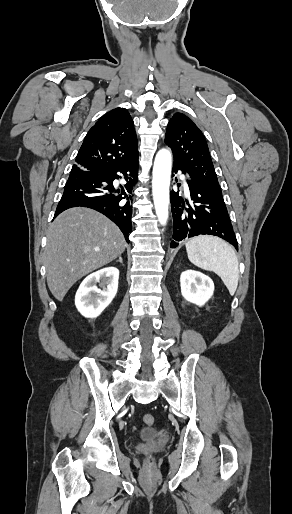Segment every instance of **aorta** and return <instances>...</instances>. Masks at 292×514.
<instances>
[{"label": "aorta", "instance_id": "762f6f07", "mask_svg": "<svg viewBox=\"0 0 292 514\" xmlns=\"http://www.w3.org/2000/svg\"><path fill=\"white\" fill-rule=\"evenodd\" d=\"M171 168V152L159 150L153 166L152 194L156 216L162 226H165L168 220Z\"/></svg>", "mask_w": 292, "mask_h": 514}]
</instances>
